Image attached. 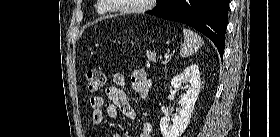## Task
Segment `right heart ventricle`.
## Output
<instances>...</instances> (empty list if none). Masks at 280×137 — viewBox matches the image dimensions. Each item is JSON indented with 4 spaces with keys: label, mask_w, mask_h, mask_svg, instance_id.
I'll return each mask as SVG.
<instances>
[{
    "label": "right heart ventricle",
    "mask_w": 280,
    "mask_h": 137,
    "mask_svg": "<svg viewBox=\"0 0 280 137\" xmlns=\"http://www.w3.org/2000/svg\"><path fill=\"white\" fill-rule=\"evenodd\" d=\"M95 10L101 15H104L108 12V8L99 0L97 1Z\"/></svg>",
    "instance_id": "1"
}]
</instances>
